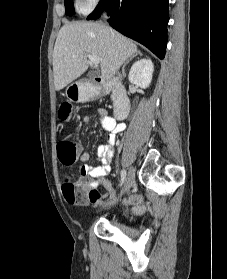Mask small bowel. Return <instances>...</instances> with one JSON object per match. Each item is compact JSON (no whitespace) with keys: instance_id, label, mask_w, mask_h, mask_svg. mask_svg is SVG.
Wrapping results in <instances>:
<instances>
[{"instance_id":"c3829d8e","label":"small bowel","mask_w":227,"mask_h":279,"mask_svg":"<svg viewBox=\"0 0 227 279\" xmlns=\"http://www.w3.org/2000/svg\"><path fill=\"white\" fill-rule=\"evenodd\" d=\"M96 113L99 116V121L101 126L110 133L106 138L105 144H102L97 149V162L99 165L89 164L90 154L87 151H81L79 155V161L82 163L81 175L86 178L92 179L89 183L91 187L103 186L111 194H114L115 191L111 183L106 179V176L110 173V163L114 155V145L116 142V132L122 131L124 125L117 123L113 118H111L105 109H98ZM90 120L89 115H85L82 119L84 124H87ZM64 197L69 204H77V200L74 191L64 190ZM101 195L97 198L91 199L92 204L101 203ZM126 204L138 203L140 197L132 195L125 198ZM145 210V207L142 205H137L132 207V211L136 214H141Z\"/></svg>"}]
</instances>
